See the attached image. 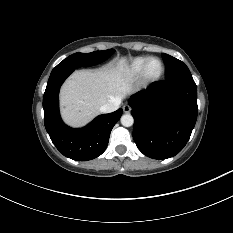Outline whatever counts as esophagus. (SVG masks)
I'll return each instance as SVG.
<instances>
[{
  "instance_id": "1",
  "label": "esophagus",
  "mask_w": 233,
  "mask_h": 233,
  "mask_svg": "<svg viewBox=\"0 0 233 233\" xmlns=\"http://www.w3.org/2000/svg\"><path fill=\"white\" fill-rule=\"evenodd\" d=\"M123 111L124 113H129L131 111V107L127 104L123 105Z\"/></svg>"
}]
</instances>
